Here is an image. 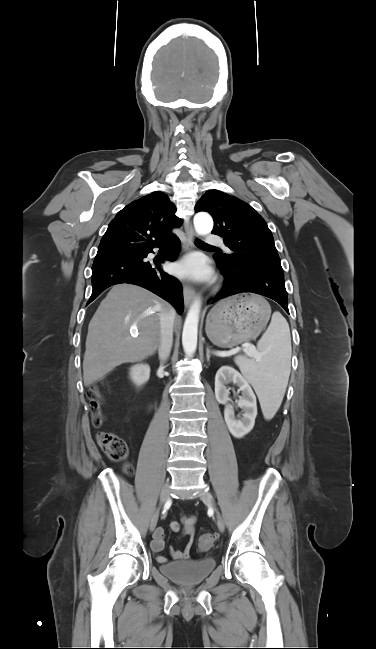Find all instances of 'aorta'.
<instances>
[{
  "instance_id": "obj_1",
  "label": "aorta",
  "mask_w": 376,
  "mask_h": 649,
  "mask_svg": "<svg viewBox=\"0 0 376 649\" xmlns=\"http://www.w3.org/2000/svg\"><path fill=\"white\" fill-rule=\"evenodd\" d=\"M194 227L198 235H207L213 229V219L206 212L194 216ZM201 301L197 298L188 310L182 332V345L187 356H192L197 348L198 324Z\"/></svg>"
}]
</instances>
